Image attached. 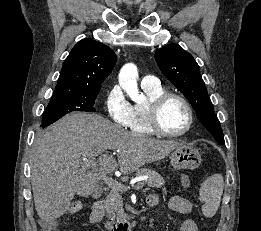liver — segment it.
I'll list each match as a JSON object with an SVG mask.
<instances>
[{
  "mask_svg": "<svg viewBox=\"0 0 261 231\" xmlns=\"http://www.w3.org/2000/svg\"><path fill=\"white\" fill-rule=\"evenodd\" d=\"M183 143L157 140L96 114L72 113L49 126L34 144L30 159L35 209L41 221L52 222L68 209L75 194L87 197L99 189L102 174H128L168 156ZM117 151L113 155L103 154ZM99 157L98 168L88 161Z\"/></svg>",
  "mask_w": 261,
  "mask_h": 231,
  "instance_id": "liver-1",
  "label": "liver"
}]
</instances>
